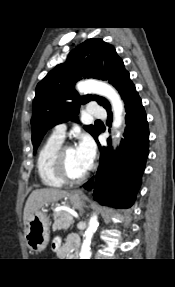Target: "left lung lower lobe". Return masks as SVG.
<instances>
[{"label": "left lung lower lobe", "mask_w": 175, "mask_h": 287, "mask_svg": "<svg viewBox=\"0 0 175 287\" xmlns=\"http://www.w3.org/2000/svg\"><path fill=\"white\" fill-rule=\"evenodd\" d=\"M126 109V128L124 139L117 153L109 147H101L98 135L94 138L101 151L98 171L83 185L93 190V197L100 204L115 208H129L141 185L149 153V129L142 100L132 84L124 97ZM108 112V123L112 121V113Z\"/></svg>", "instance_id": "obj_1"}]
</instances>
